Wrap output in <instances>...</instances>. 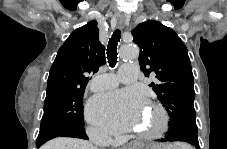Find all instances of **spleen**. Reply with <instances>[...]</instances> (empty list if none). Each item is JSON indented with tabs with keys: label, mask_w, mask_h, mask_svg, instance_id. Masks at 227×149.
<instances>
[{
	"label": "spleen",
	"mask_w": 227,
	"mask_h": 149,
	"mask_svg": "<svg viewBox=\"0 0 227 149\" xmlns=\"http://www.w3.org/2000/svg\"><path fill=\"white\" fill-rule=\"evenodd\" d=\"M182 146V148H185V146L184 145H181Z\"/></svg>",
	"instance_id": "1"
}]
</instances>
